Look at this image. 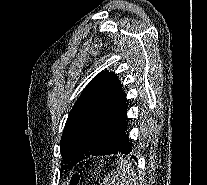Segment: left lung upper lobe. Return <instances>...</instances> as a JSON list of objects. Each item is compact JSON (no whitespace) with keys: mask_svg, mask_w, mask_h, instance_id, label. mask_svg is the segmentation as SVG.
Segmentation results:
<instances>
[{"mask_svg":"<svg viewBox=\"0 0 207 185\" xmlns=\"http://www.w3.org/2000/svg\"><path fill=\"white\" fill-rule=\"evenodd\" d=\"M126 115V95L117 75L101 71L69 113L60 142L68 166L62 168H72L84 156L101 153Z\"/></svg>","mask_w":207,"mask_h":185,"instance_id":"obj_1","label":"left lung upper lobe"}]
</instances>
